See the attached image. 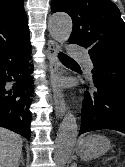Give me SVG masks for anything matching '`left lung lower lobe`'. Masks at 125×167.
I'll use <instances>...</instances> for the list:
<instances>
[{"label":"left lung lower lobe","mask_w":125,"mask_h":167,"mask_svg":"<svg viewBox=\"0 0 125 167\" xmlns=\"http://www.w3.org/2000/svg\"><path fill=\"white\" fill-rule=\"evenodd\" d=\"M79 135L100 129L125 133V75L103 71L87 86Z\"/></svg>","instance_id":"0a47b994"}]
</instances>
